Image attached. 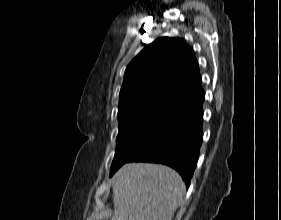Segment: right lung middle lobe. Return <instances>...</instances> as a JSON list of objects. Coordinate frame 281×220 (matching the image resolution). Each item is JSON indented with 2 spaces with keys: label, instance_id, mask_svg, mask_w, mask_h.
I'll return each instance as SVG.
<instances>
[{
  "label": "right lung middle lobe",
  "instance_id": "dd1d6c3e",
  "mask_svg": "<svg viewBox=\"0 0 281 220\" xmlns=\"http://www.w3.org/2000/svg\"><path fill=\"white\" fill-rule=\"evenodd\" d=\"M170 117L144 115L119 119V133L110 175L126 163L169 120Z\"/></svg>",
  "mask_w": 281,
  "mask_h": 220
}]
</instances>
